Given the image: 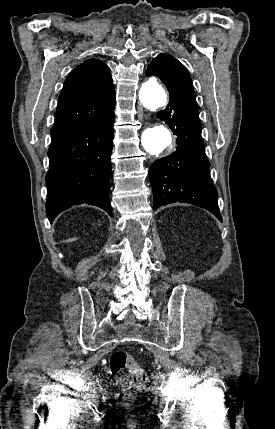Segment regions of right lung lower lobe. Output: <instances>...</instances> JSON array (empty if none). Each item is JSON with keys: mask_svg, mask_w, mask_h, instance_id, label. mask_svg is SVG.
<instances>
[{"mask_svg": "<svg viewBox=\"0 0 275 429\" xmlns=\"http://www.w3.org/2000/svg\"><path fill=\"white\" fill-rule=\"evenodd\" d=\"M114 121L115 114L52 135L46 175V214L50 222L63 210L83 203L100 207L112 216L109 184Z\"/></svg>", "mask_w": 275, "mask_h": 429, "instance_id": "1", "label": "right lung lower lobe"}]
</instances>
